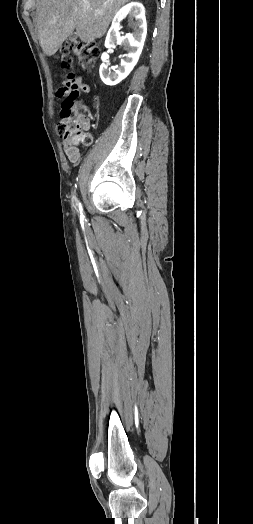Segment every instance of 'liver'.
Wrapping results in <instances>:
<instances>
[{
  "mask_svg": "<svg viewBox=\"0 0 253 524\" xmlns=\"http://www.w3.org/2000/svg\"><path fill=\"white\" fill-rule=\"evenodd\" d=\"M128 2L130 0H38L35 20L44 54L54 55L74 30L85 43L101 38L114 15Z\"/></svg>",
  "mask_w": 253,
  "mask_h": 524,
  "instance_id": "6515ba94",
  "label": "liver"
}]
</instances>
